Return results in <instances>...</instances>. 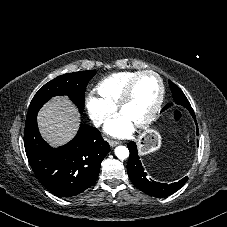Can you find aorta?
Wrapping results in <instances>:
<instances>
[{
	"label": "aorta",
	"instance_id": "762f6f07",
	"mask_svg": "<svg viewBox=\"0 0 227 227\" xmlns=\"http://www.w3.org/2000/svg\"><path fill=\"white\" fill-rule=\"evenodd\" d=\"M114 152H115V155L117 156V158L120 160H125L129 157V150L125 146L116 147Z\"/></svg>",
	"mask_w": 227,
	"mask_h": 227
}]
</instances>
